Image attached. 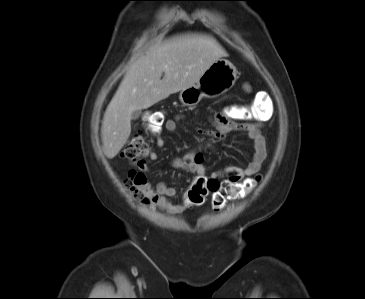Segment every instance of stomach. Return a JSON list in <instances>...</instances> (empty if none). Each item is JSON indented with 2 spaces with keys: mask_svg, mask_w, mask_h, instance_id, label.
<instances>
[{
  "mask_svg": "<svg viewBox=\"0 0 365 299\" xmlns=\"http://www.w3.org/2000/svg\"><path fill=\"white\" fill-rule=\"evenodd\" d=\"M237 70L228 60H216L192 86L180 91L184 106H196L203 97L215 98L230 90L237 80Z\"/></svg>",
  "mask_w": 365,
  "mask_h": 299,
  "instance_id": "stomach-1",
  "label": "stomach"
}]
</instances>
